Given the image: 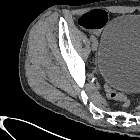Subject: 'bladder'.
<instances>
[{
	"label": "bladder",
	"instance_id": "1",
	"mask_svg": "<svg viewBox=\"0 0 140 140\" xmlns=\"http://www.w3.org/2000/svg\"><path fill=\"white\" fill-rule=\"evenodd\" d=\"M97 67L108 86L121 93L140 91V14H122L106 25Z\"/></svg>",
	"mask_w": 140,
	"mask_h": 140
}]
</instances>
